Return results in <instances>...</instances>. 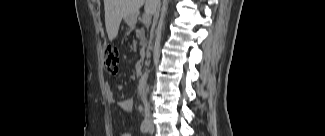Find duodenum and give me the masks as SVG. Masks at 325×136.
I'll use <instances>...</instances> for the list:
<instances>
[{
	"mask_svg": "<svg viewBox=\"0 0 325 136\" xmlns=\"http://www.w3.org/2000/svg\"><path fill=\"white\" fill-rule=\"evenodd\" d=\"M145 66V62L143 60H140L135 65V72L136 74H141Z\"/></svg>",
	"mask_w": 325,
	"mask_h": 136,
	"instance_id": "1",
	"label": "duodenum"
}]
</instances>
